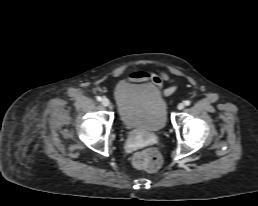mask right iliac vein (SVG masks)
<instances>
[{"instance_id":"1","label":"right iliac vein","mask_w":258,"mask_h":206,"mask_svg":"<svg viewBox=\"0 0 258 206\" xmlns=\"http://www.w3.org/2000/svg\"><path fill=\"white\" fill-rule=\"evenodd\" d=\"M102 104H103L104 106H109V105H110L109 99L103 98V99H102Z\"/></svg>"}]
</instances>
